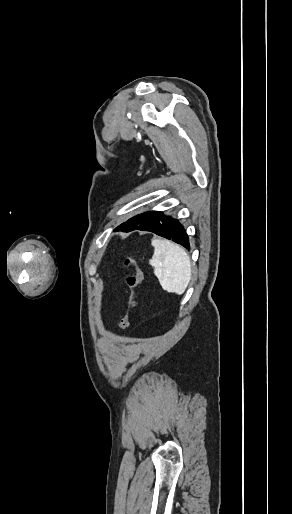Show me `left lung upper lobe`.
Wrapping results in <instances>:
<instances>
[{
	"mask_svg": "<svg viewBox=\"0 0 292 514\" xmlns=\"http://www.w3.org/2000/svg\"><path fill=\"white\" fill-rule=\"evenodd\" d=\"M161 212L159 211H149L142 214H138L131 219H129L126 223H122L119 225L115 231H125L130 232L135 229L144 231L146 228L150 227L156 219L159 217Z\"/></svg>",
	"mask_w": 292,
	"mask_h": 514,
	"instance_id": "left-lung-upper-lobe-1",
	"label": "left lung upper lobe"
}]
</instances>
